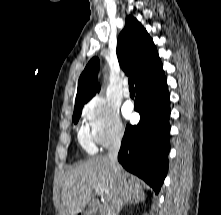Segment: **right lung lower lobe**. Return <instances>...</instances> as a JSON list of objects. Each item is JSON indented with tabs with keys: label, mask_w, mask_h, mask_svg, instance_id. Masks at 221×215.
Listing matches in <instances>:
<instances>
[{
	"label": "right lung lower lobe",
	"mask_w": 221,
	"mask_h": 215,
	"mask_svg": "<svg viewBox=\"0 0 221 215\" xmlns=\"http://www.w3.org/2000/svg\"><path fill=\"white\" fill-rule=\"evenodd\" d=\"M137 125H127L118 161L158 194L168 169L169 92L163 70L136 85Z\"/></svg>",
	"instance_id": "1"
}]
</instances>
